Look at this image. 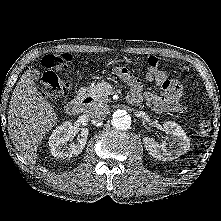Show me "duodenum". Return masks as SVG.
<instances>
[{"instance_id": "1", "label": "duodenum", "mask_w": 221, "mask_h": 221, "mask_svg": "<svg viewBox=\"0 0 221 221\" xmlns=\"http://www.w3.org/2000/svg\"><path fill=\"white\" fill-rule=\"evenodd\" d=\"M92 102L93 97L91 95L83 94L67 103L66 112L71 116H77L81 113L84 105H90Z\"/></svg>"}]
</instances>
